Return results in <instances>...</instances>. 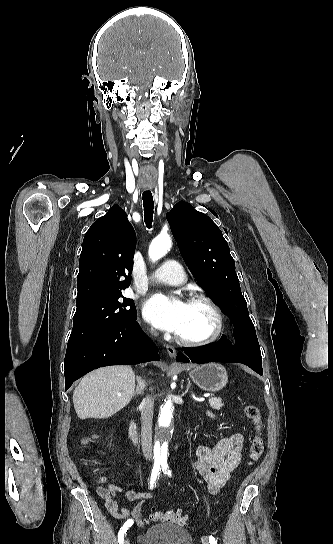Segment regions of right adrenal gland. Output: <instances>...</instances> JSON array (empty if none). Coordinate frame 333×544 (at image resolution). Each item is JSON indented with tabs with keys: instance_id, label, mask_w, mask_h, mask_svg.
I'll list each match as a JSON object with an SVG mask.
<instances>
[{
	"instance_id": "2a0ac1e0",
	"label": "right adrenal gland",
	"mask_w": 333,
	"mask_h": 544,
	"mask_svg": "<svg viewBox=\"0 0 333 544\" xmlns=\"http://www.w3.org/2000/svg\"><path fill=\"white\" fill-rule=\"evenodd\" d=\"M136 381H137V386H136V390L133 393V396L142 395L143 390L145 388V382L140 376H136Z\"/></svg>"
}]
</instances>
